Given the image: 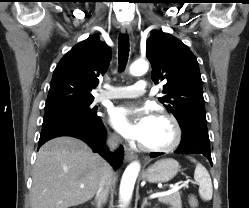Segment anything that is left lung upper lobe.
Returning a JSON list of instances; mask_svg holds the SVG:
<instances>
[{
    "instance_id": "5c2ea615",
    "label": "left lung upper lobe",
    "mask_w": 249,
    "mask_h": 208,
    "mask_svg": "<svg viewBox=\"0 0 249 208\" xmlns=\"http://www.w3.org/2000/svg\"><path fill=\"white\" fill-rule=\"evenodd\" d=\"M146 56L152 66V80L164 81L159 101L171 112L180 127L190 120L206 122L202 79L196 57L179 39L153 31L147 40Z\"/></svg>"
}]
</instances>
